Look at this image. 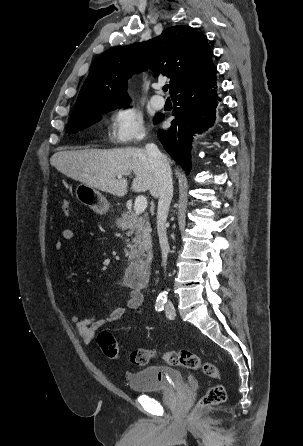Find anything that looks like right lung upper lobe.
<instances>
[{"mask_svg": "<svg viewBox=\"0 0 303 446\" xmlns=\"http://www.w3.org/2000/svg\"><path fill=\"white\" fill-rule=\"evenodd\" d=\"M205 35L186 25L172 26L154 39L115 47L96 61L80 90L72 115L129 103L127 79L149 67L170 78L171 96L216 75Z\"/></svg>", "mask_w": 303, "mask_h": 446, "instance_id": "right-lung-upper-lobe-1", "label": "right lung upper lobe"}]
</instances>
